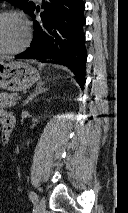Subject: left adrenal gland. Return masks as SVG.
<instances>
[{
  "label": "left adrenal gland",
  "instance_id": "left-adrenal-gland-1",
  "mask_svg": "<svg viewBox=\"0 0 128 213\" xmlns=\"http://www.w3.org/2000/svg\"><path fill=\"white\" fill-rule=\"evenodd\" d=\"M44 82H40L36 88L34 89L33 93L24 101L23 106H26L29 102H31L37 95L44 93L47 91L46 88H43Z\"/></svg>",
  "mask_w": 128,
  "mask_h": 213
}]
</instances>
